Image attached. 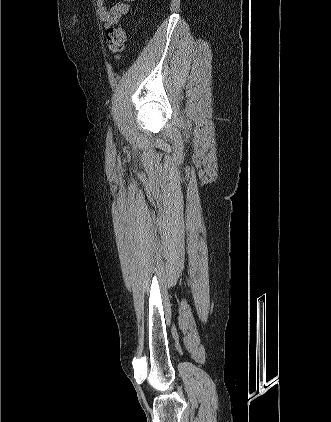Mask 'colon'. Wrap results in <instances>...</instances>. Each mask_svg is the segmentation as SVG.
Returning <instances> with one entry per match:
<instances>
[{"label": "colon", "instance_id": "colon-1", "mask_svg": "<svg viewBox=\"0 0 331 422\" xmlns=\"http://www.w3.org/2000/svg\"><path fill=\"white\" fill-rule=\"evenodd\" d=\"M125 39V31L121 26L109 27L106 30L107 47L115 58L123 51Z\"/></svg>", "mask_w": 331, "mask_h": 422}]
</instances>
